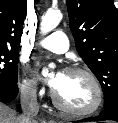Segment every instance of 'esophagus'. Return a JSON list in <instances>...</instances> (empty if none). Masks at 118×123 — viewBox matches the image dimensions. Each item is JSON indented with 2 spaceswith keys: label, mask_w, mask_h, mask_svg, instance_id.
<instances>
[{
  "label": "esophagus",
  "mask_w": 118,
  "mask_h": 123,
  "mask_svg": "<svg viewBox=\"0 0 118 123\" xmlns=\"http://www.w3.org/2000/svg\"><path fill=\"white\" fill-rule=\"evenodd\" d=\"M49 122H50V123H54V121H53V120H50Z\"/></svg>",
  "instance_id": "esophagus-1"
}]
</instances>
